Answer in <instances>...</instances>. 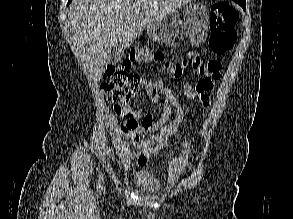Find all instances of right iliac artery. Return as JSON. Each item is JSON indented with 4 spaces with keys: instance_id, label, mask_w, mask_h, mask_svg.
Returning <instances> with one entry per match:
<instances>
[{
    "instance_id": "right-iliac-artery-1",
    "label": "right iliac artery",
    "mask_w": 293,
    "mask_h": 219,
    "mask_svg": "<svg viewBox=\"0 0 293 219\" xmlns=\"http://www.w3.org/2000/svg\"><path fill=\"white\" fill-rule=\"evenodd\" d=\"M102 187H103V175L101 173L99 174V177H98L97 190L102 189Z\"/></svg>"
}]
</instances>
